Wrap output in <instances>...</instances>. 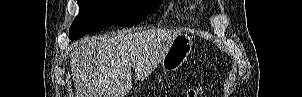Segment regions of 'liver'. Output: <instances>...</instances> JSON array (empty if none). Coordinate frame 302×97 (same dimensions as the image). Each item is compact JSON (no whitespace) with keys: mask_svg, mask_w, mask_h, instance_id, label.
<instances>
[{"mask_svg":"<svg viewBox=\"0 0 302 97\" xmlns=\"http://www.w3.org/2000/svg\"><path fill=\"white\" fill-rule=\"evenodd\" d=\"M180 34L151 29L82 39L70 55L76 97H125L132 89L131 68L138 78L149 74Z\"/></svg>","mask_w":302,"mask_h":97,"instance_id":"liver-1","label":"liver"}]
</instances>
